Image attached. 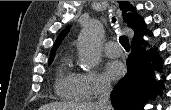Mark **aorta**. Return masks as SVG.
Instances as JSON below:
<instances>
[{"label":"aorta","instance_id":"762f6f07","mask_svg":"<svg viewBox=\"0 0 171 110\" xmlns=\"http://www.w3.org/2000/svg\"><path fill=\"white\" fill-rule=\"evenodd\" d=\"M102 25L98 21L86 26L78 41L81 68L90 72L100 60V41Z\"/></svg>","mask_w":171,"mask_h":110}]
</instances>
